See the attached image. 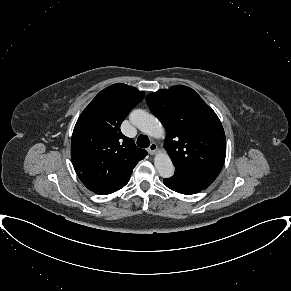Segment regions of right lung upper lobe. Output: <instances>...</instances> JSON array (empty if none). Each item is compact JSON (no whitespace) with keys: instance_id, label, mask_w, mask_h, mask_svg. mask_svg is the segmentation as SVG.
<instances>
[{"instance_id":"cb5924a9","label":"right lung upper lobe","mask_w":291,"mask_h":291,"mask_svg":"<svg viewBox=\"0 0 291 291\" xmlns=\"http://www.w3.org/2000/svg\"><path fill=\"white\" fill-rule=\"evenodd\" d=\"M145 94L117 83L100 91L84 109L71 140L73 167L91 191L107 195L124 187L147 151L124 136L120 125Z\"/></svg>"}]
</instances>
